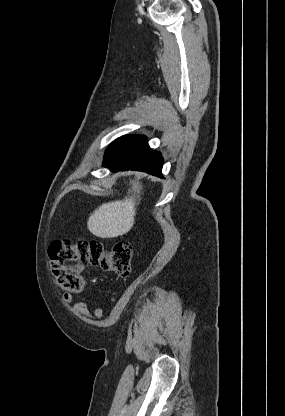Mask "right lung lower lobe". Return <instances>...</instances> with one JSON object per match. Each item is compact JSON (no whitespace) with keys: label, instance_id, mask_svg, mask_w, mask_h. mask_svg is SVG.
I'll return each instance as SVG.
<instances>
[{"label":"right lung lower lobe","instance_id":"right-lung-lower-lobe-1","mask_svg":"<svg viewBox=\"0 0 285 416\" xmlns=\"http://www.w3.org/2000/svg\"><path fill=\"white\" fill-rule=\"evenodd\" d=\"M163 158L149 148L144 136L127 135L115 140L105 153L103 166L112 171L139 170L161 175Z\"/></svg>","mask_w":285,"mask_h":416}]
</instances>
